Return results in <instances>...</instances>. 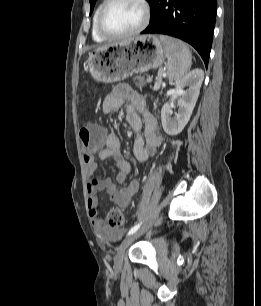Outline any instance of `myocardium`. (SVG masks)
<instances>
[{"mask_svg":"<svg viewBox=\"0 0 261 306\" xmlns=\"http://www.w3.org/2000/svg\"><path fill=\"white\" fill-rule=\"evenodd\" d=\"M120 0H106L105 4L99 11L97 17V30L98 32L107 39H124L135 36L143 31L150 21L151 10L150 5L147 0H135L138 4L141 5L143 9V19L141 23L132 31L128 33H114L110 31L104 24V17L108 11V9L113 6L115 3L119 2Z\"/></svg>","mask_w":261,"mask_h":306,"instance_id":"myocardium-1","label":"myocardium"}]
</instances>
